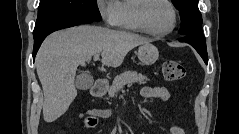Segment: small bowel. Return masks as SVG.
I'll return each instance as SVG.
<instances>
[{
	"instance_id": "obj_1",
	"label": "small bowel",
	"mask_w": 239,
	"mask_h": 134,
	"mask_svg": "<svg viewBox=\"0 0 239 134\" xmlns=\"http://www.w3.org/2000/svg\"><path fill=\"white\" fill-rule=\"evenodd\" d=\"M141 96L143 98L148 99H158L161 101H167L170 98V92L167 87L164 86H145L141 89ZM112 115L111 109L106 108H94L88 110L87 112L81 113L80 117L83 118L85 116H93L97 118H108ZM171 134H184V131L179 126H172L171 127Z\"/></svg>"
}]
</instances>
